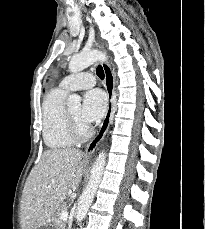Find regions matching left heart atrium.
<instances>
[{"mask_svg": "<svg viewBox=\"0 0 205 229\" xmlns=\"http://www.w3.org/2000/svg\"><path fill=\"white\" fill-rule=\"evenodd\" d=\"M107 96L100 89H92L85 93L81 109V120L90 124L99 120L106 112Z\"/></svg>", "mask_w": 205, "mask_h": 229, "instance_id": "obj_1", "label": "left heart atrium"}]
</instances>
